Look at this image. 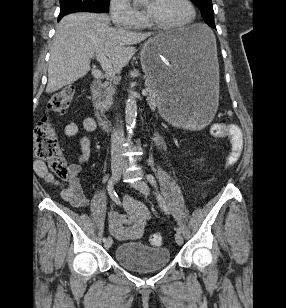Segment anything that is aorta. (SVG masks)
Returning <instances> with one entry per match:
<instances>
[{"mask_svg":"<svg viewBox=\"0 0 286 308\" xmlns=\"http://www.w3.org/2000/svg\"><path fill=\"white\" fill-rule=\"evenodd\" d=\"M125 115L126 128L128 131L127 139L129 140L132 138L137 116V103L134 92H130L128 96L125 107Z\"/></svg>","mask_w":286,"mask_h":308,"instance_id":"obj_1","label":"aorta"}]
</instances>
